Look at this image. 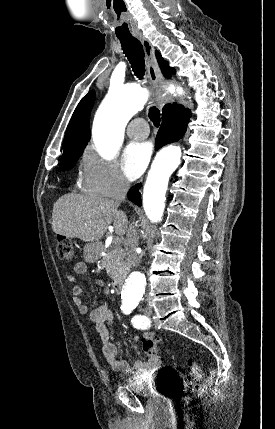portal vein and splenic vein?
Listing matches in <instances>:
<instances>
[{
    "instance_id": "portal-vein-and-splenic-vein-1",
    "label": "portal vein and splenic vein",
    "mask_w": 275,
    "mask_h": 429,
    "mask_svg": "<svg viewBox=\"0 0 275 429\" xmlns=\"http://www.w3.org/2000/svg\"><path fill=\"white\" fill-rule=\"evenodd\" d=\"M113 242H114L115 244H118V243L120 242V239H119V238H115Z\"/></svg>"
}]
</instances>
